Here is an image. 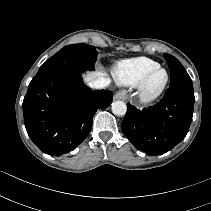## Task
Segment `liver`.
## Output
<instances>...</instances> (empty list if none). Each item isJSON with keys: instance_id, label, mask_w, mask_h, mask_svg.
I'll use <instances>...</instances> for the list:
<instances>
[{"instance_id": "1", "label": "liver", "mask_w": 211, "mask_h": 211, "mask_svg": "<svg viewBox=\"0 0 211 211\" xmlns=\"http://www.w3.org/2000/svg\"><path fill=\"white\" fill-rule=\"evenodd\" d=\"M103 76H105V73H103L102 71H95V72L85 74L84 80H85V82L90 83L91 81L95 80L96 78L103 77Z\"/></svg>"}]
</instances>
